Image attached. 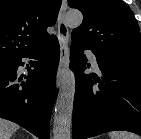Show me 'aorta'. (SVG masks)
<instances>
[{
  "label": "aorta",
  "mask_w": 141,
  "mask_h": 139,
  "mask_svg": "<svg viewBox=\"0 0 141 139\" xmlns=\"http://www.w3.org/2000/svg\"><path fill=\"white\" fill-rule=\"evenodd\" d=\"M66 23L69 27H78L83 20L80 11L70 10L65 16ZM75 95V75L68 69L61 82L59 94L56 100L54 122H53V139H71V124Z\"/></svg>",
  "instance_id": "762f6f07"
}]
</instances>
